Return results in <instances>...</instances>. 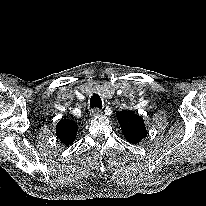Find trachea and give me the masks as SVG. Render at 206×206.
Listing matches in <instances>:
<instances>
[{
    "label": "trachea",
    "mask_w": 206,
    "mask_h": 206,
    "mask_svg": "<svg viewBox=\"0 0 206 206\" xmlns=\"http://www.w3.org/2000/svg\"><path fill=\"white\" fill-rule=\"evenodd\" d=\"M90 107L102 109V100L98 94H93L90 98Z\"/></svg>",
    "instance_id": "1"
}]
</instances>
